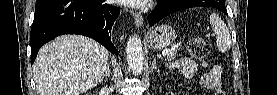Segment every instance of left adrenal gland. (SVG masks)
<instances>
[{
    "label": "left adrenal gland",
    "mask_w": 277,
    "mask_h": 95,
    "mask_svg": "<svg viewBox=\"0 0 277 95\" xmlns=\"http://www.w3.org/2000/svg\"><path fill=\"white\" fill-rule=\"evenodd\" d=\"M152 68H153V69H156V68H157V66H156V59H154V61H153V63H152Z\"/></svg>",
    "instance_id": "obj_1"
}]
</instances>
